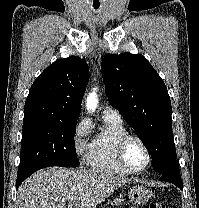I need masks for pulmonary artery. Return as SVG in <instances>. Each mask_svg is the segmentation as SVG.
<instances>
[{"label": "pulmonary artery", "mask_w": 199, "mask_h": 208, "mask_svg": "<svg viewBox=\"0 0 199 208\" xmlns=\"http://www.w3.org/2000/svg\"><path fill=\"white\" fill-rule=\"evenodd\" d=\"M102 117L111 118L114 120L122 121V116L118 110L113 107L106 106L102 111Z\"/></svg>", "instance_id": "obj_1"}]
</instances>
